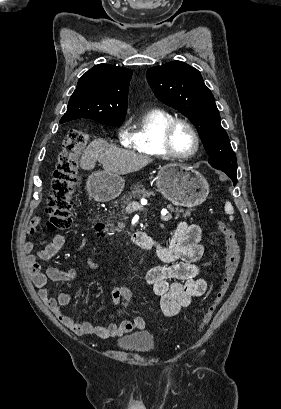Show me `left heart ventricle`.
Instances as JSON below:
<instances>
[{"instance_id":"b2bd125f","label":"left heart ventricle","mask_w":281,"mask_h":409,"mask_svg":"<svg viewBox=\"0 0 281 409\" xmlns=\"http://www.w3.org/2000/svg\"><path fill=\"white\" fill-rule=\"evenodd\" d=\"M173 144L180 154H188L194 149V139L189 130L183 126L177 128L174 134Z\"/></svg>"}]
</instances>
